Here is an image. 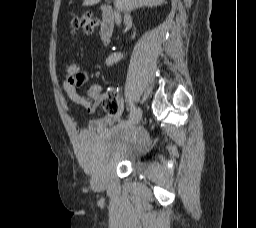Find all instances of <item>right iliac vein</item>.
I'll use <instances>...</instances> for the list:
<instances>
[{
  "label": "right iliac vein",
  "instance_id": "right-iliac-vein-1",
  "mask_svg": "<svg viewBox=\"0 0 256 228\" xmlns=\"http://www.w3.org/2000/svg\"><path fill=\"white\" fill-rule=\"evenodd\" d=\"M142 112L138 108L134 114V116L130 119V121L127 123L128 128L132 129L134 128L141 120Z\"/></svg>",
  "mask_w": 256,
  "mask_h": 228
}]
</instances>
